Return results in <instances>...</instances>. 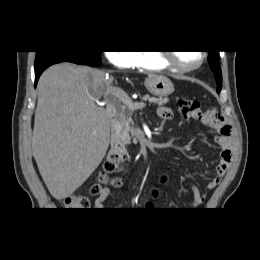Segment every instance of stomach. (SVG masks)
Listing matches in <instances>:
<instances>
[{"instance_id": "0dacf381", "label": "stomach", "mask_w": 260, "mask_h": 260, "mask_svg": "<svg viewBox=\"0 0 260 260\" xmlns=\"http://www.w3.org/2000/svg\"><path fill=\"white\" fill-rule=\"evenodd\" d=\"M144 85L152 95L157 97H167L174 92L172 81L161 75L146 78Z\"/></svg>"}]
</instances>
